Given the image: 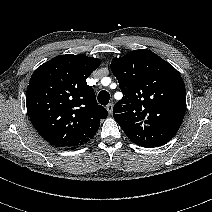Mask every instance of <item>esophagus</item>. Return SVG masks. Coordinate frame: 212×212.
Returning a JSON list of instances; mask_svg holds the SVG:
<instances>
[{"instance_id": "obj_1", "label": "esophagus", "mask_w": 212, "mask_h": 212, "mask_svg": "<svg viewBox=\"0 0 212 212\" xmlns=\"http://www.w3.org/2000/svg\"><path fill=\"white\" fill-rule=\"evenodd\" d=\"M106 109H107L109 114H112V112H113V104L112 103L108 104L106 106Z\"/></svg>"}]
</instances>
